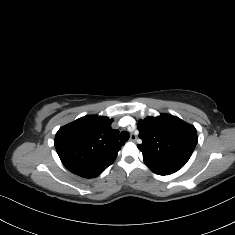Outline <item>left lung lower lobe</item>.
<instances>
[{"label":"left lung lower lobe","instance_id":"left-lung-lower-lobe-1","mask_svg":"<svg viewBox=\"0 0 235 235\" xmlns=\"http://www.w3.org/2000/svg\"><path fill=\"white\" fill-rule=\"evenodd\" d=\"M143 159L145 164L151 169V171L158 175L172 174L182 168V166H179L177 164L165 163L155 159Z\"/></svg>","mask_w":235,"mask_h":235}]
</instances>
